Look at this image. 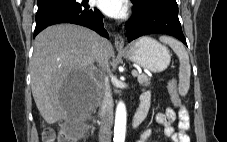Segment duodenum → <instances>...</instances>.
Returning a JSON list of instances; mask_svg holds the SVG:
<instances>
[{
	"label": "duodenum",
	"mask_w": 227,
	"mask_h": 142,
	"mask_svg": "<svg viewBox=\"0 0 227 142\" xmlns=\"http://www.w3.org/2000/svg\"><path fill=\"white\" fill-rule=\"evenodd\" d=\"M148 104L145 102H140V105L137 109V111L135 112L133 118H132V127L133 128H137L146 118L147 114H148ZM106 116L110 117L111 116V112L109 110L105 111Z\"/></svg>",
	"instance_id": "410a0bca"
}]
</instances>
